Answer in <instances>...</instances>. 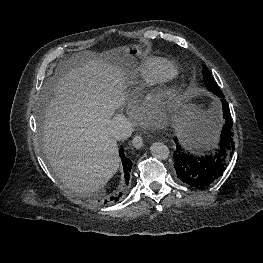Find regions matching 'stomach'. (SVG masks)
<instances>
[{"instance_id": "stomach-1", "label": "stomach", "mask_w": 263, "mask_h": 263, "mask_svg": "<svg viewBox=\"0 0 263 263\" xmlns=\"http://www.w3.org/2000/svg\"><path fill=\"white\" fill-rule=\"evenodd\" d=\"M142 48L139 45H130V46H125L123 48V54H125L130 60H134L138 58L141 55ZM195 123V126L198 125V120Z\"/></svg>"}]
</instances>
